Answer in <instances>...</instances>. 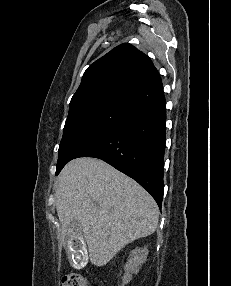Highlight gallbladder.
<instances>
[{
    "instance_id": "obj_1",
    "label": "gallbladder",
    "mask_w": 231,
    "mask_h": 286,
    "mask_svg": "<svg viewBox=\"0 0 231 286\" xmlns=\"http://www.w3.org/2000/svg\"><path fill=\"white\" fill-rule=\"evenodd\" d=\"M68 236L69 238L66 239V251H67V258L69 259V263L75 269H81L85 267L88 263V250L86 248V241L83 240L84 236L81 234V230L83 229L82 222H77L73 220L72 223H68Z\"/></svg>"
}]
</instances>
